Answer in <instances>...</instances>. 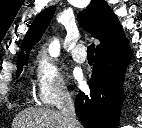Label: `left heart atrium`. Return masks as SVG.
<instances>
[{
  "label": "left heart atrium",
  "instance_id": "left-heart-atrium-1",
  "mask_svg": "<svg viewBox=\"0 0 142 128\" xmlns=\"http://www.w3.org/2000/svg\"><path fill=\"white\" fill-rule=\"evenodd\" d=\"M74 77L78 80V81H81L82 79V74L80 71H75L74 72Z\"/></svg>",
  "mask_w": 142,
  "mask_h": 128
}]
</instances>
